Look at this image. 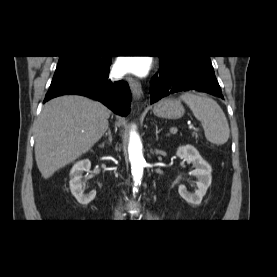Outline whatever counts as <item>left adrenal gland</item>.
<instances>
[{
    "instance_id": "a2214340",
    "label": "left adrenal gland",
    "mask_w": 277,
    "mask_h": 277,
    "mask_svg": "<svg viewBox=\"0 0 277 277\" xmlns=\"http://www.w3.org/2000/svg\"><path fill=\"white\" fill-rule=\"evenodd\" d=\"M160 131H161V129L158 130V127L156 126V133H155L156 140H158V134L160 133Z\"/></svg>"
}]
</instances>
